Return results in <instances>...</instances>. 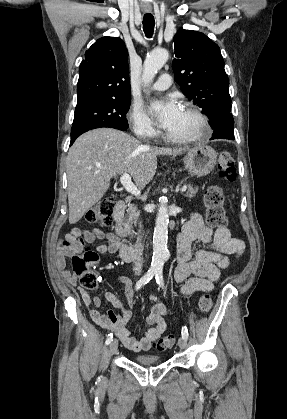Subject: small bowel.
Masks as SVG:
<instances>
[{"label": "small bowel", "instance_id": "small-bowel-1", "mask_svg": "<svg viewBox=\"0 0 287 419\" xmlns=\"http://www.w3.org/2000/svg\"><path fill=\"white\" fill-rule=\"evenodd\" d=\"M69 238H80L82 242L92 243L96 239H105L106 243L96 247L98 253L111 255L118 252L122 247L121 240L111 232L101 229L81 230L74 228L69 234ZM199 242L203 247L192 249V244ZM244 249V244L239 239L231 236L226 227L212 228L207 225L199 215H193L184 225L182 232L178 236L176 260L177 266L174 278L177 282H184L181 292L190 295L194 292H209L214 288L215 283L220 278L222 269L228 266L227 253L240 254ZM70 253L63 248L57 254V267L62 276L68 283L74 285L77 277L72 273L66 263V258ZM119 283L125 288V296L128 306L114 293L106 291L104 298L114 306L122 310L121 315H117L109 309L102 313L98 308L102 304L99 297H92L83 288L80 294L86 305L92 320L102 328L113 331L128 349L141 352L149 350L153 343L161 337L167 328L165 317L171 312L163 303L156 301L147 318L150 327L146 330L141 339L131 336L127 328V323L131 318L130 305L132 304V283L127 277H119Z\"/></svg>", "mask_w": 287, "mask_h": 419}]
</instances>
